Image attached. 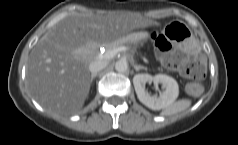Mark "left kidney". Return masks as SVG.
Listing matches in <instances>:
<instances>
[{"label": "left kidney", "instance_id": "obj_1", "mask_svg": "<svg viewBox=\"0 0 238 145\" xmlns=\"http://www.w3.org/2000/svg\"><path fill=\"white\" fill-rule=\"evenodd\" d=\"M162 84L164 91L159 96H151L145 90L146 83ZM134 88L141 103L152 110L164 109L172 104L179 94V87L175 79L165 74L151 76L149 74H137L133 78Z\"/></svg>", "mask_w": 238, "mask_h": 145}]
</instances>
